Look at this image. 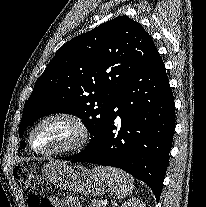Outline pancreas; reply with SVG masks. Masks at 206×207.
<instances>
[{"instance_id":"cf45deb5","label":"pancreas","mask_w":206,"mask_h":207,"mask_svg":"<svg viewBox=\"0 0 206 207\" xmlns=\"http://www.w3.org/2000/svg\"><path fill=\"white\" fill-rule=\"evenodd\" d=\"M88 207H100L98 200H92L91 204Z\"/></svg>"}]
</instances>
